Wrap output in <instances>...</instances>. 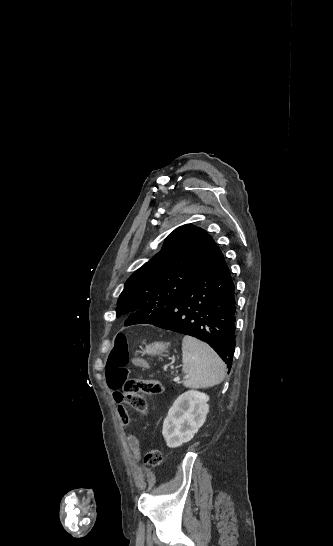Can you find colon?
<instances>
[{
	"mask_svg": "<svg viewBox=\"0 0 333 546\" xmlns=\"http://www.w3.org/2000/svg\"><path fill=\"white\" fill-rule=\"evenodd\" d=\"M129 345L126 335L119 333L114 342L107 361V384L111 389H122V398L125 403L134 410L145 413L147 404L140 393L159 394L164 391V387L154 380H143L137 378H128L129 364ZM145 462L150 467H158L163 462V453L160 448H152Z\"/></svg>",
	"mask_w": 333,
	"mask_h": 546,
	"instance_id": "1",
	"label": "colon"
}]
</instances>
